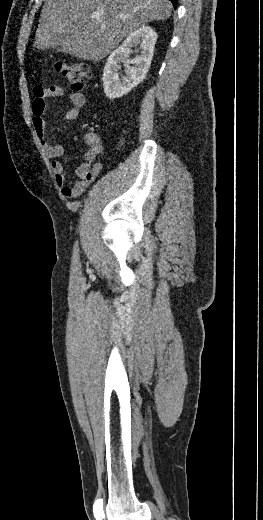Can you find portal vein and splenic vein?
<instances>
[{"instance_id": "18ae733b", "label": "portal vein and splenic vein", "mask_w": 263, "mask_h": 520, "mask_svg": "<svg viewBox=\"0 0 263 520\" xmlns=\"http://www.w3.org/2000/svg\"><path fill=\"white\" fill-rule=\"evenodd\" d=\"M100 16H102V14H100V13H95V14H93L91 17H92V18H100ZM121 18H122V19H125V16H121Z\"/></svg>"}]
</instances>
